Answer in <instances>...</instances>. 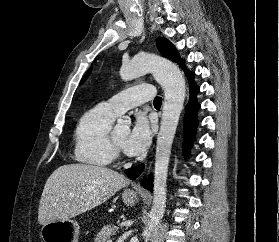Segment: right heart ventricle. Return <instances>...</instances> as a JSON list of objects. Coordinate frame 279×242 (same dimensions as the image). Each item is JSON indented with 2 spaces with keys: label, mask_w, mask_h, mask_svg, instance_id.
Here are the masks:
<instances>
[{
  "label": "right heart ventricle",
  "mask_w": 279,
  "mask_h": 242,
  "mask_svg": "<svg viewBox=\"0 0 279 242\" xmlns=\"http://www.w3.org/2000/svg\"><path fill=\"white\" fill-rule=\"evenodd\" d=\"M116 115L104 103L82 114L74 133L75 159L83 164L106 167L116 157L110 143V130Z\"/></svg>",
  "instance_id": "obj_1"
}]
</instances>
